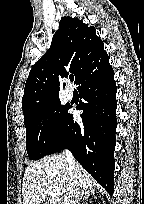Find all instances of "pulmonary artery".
Returning a JSON list of instances; mask_svg holds the SVG:
<instances>
[{
  "label": "pulmonary artery",
  "instance_id": "pulmonary-artery-1",
  "mask_svg": "<svg viewBox=\"0 0 144 204\" xmlns=\"http://www.w3.org/2000/svg\"><path fill=\"white\" fill-rule=\"evenodd\" d=\"M65 97L67 100H71L73 98V91L71 89H67L65 91Z\"/></svg>",
  "mask_w": 144,
  "mask_h": 204
}]
</instances>
